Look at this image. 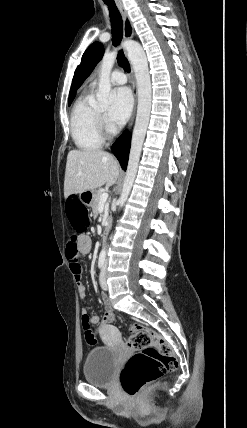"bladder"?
Returning <instances> with one entry per match:
<instances>
[{
    "label": "bladder",
    "instance_id": "1",
    "mask_svg": "<svg viewBox=\"0 0 247 428\" xmlns=\"http://www.w3.org/2000/svg\"><path fill=\"white\" fill-rule=\"evenodd\" d=\"M118 368L116 350L106 346L95 347L88 353L83 373L88 383L97 386L110 385Z\"/></svg>",
    "mask_w": 247,
    "mask_h": 428
}]
</instances>
